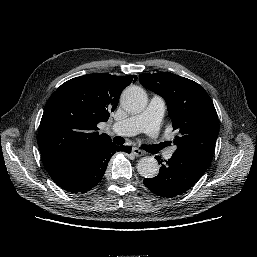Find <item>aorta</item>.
Instances as JSON below:
<instances>
[{
    "label": "aorta",
    "instance_id": "1",
    "mask_svg": "<svg viewBox=\"0 0 257 257\" xmlns=\"http://www.w3.org/2000/svg\"><path fill=\"white\" fill-rule=\"evenodd\" d=\"M120 103L127 112L139 113L147 105V94L139 86H130L122 92ZM137 171L145 178H154L159 172L158 161L152 156L143 157L137 164Z\"/></svg>",
    "mask_w": 257,
    "mask_h": 257
}]
</instances>
